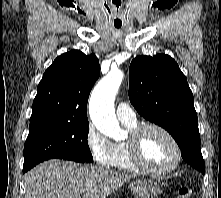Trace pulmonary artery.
I'll return each mask as SVG.
<instances>
[{"label": "pulmonary artery", "instance_id": "e3ab8cb5", "mask_svg": "<svg viewBox=\"0 0 221 198\" xmlns=\"http://www.w3.org/2000/svg\"><path fill=\"white\" fill-rule=\"evenodd\" d=\"M118 119L125 124H134L137 121L136 113L134 110L125 102L118 104L116 109Z\"/></svg>", "mask_w": 221, "mask_h": 198}]
</instances>
